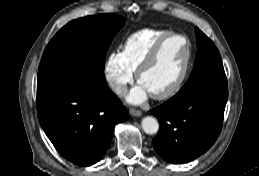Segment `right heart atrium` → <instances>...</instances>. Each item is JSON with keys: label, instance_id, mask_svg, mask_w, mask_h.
<instances>
[{"label": "right heart atrium", "instance_id": "d8ad5b80", "mask_svg": "<svg viewBox=\"0 0 259 176\" xmlns=\"http://www.w3.org/2000/svg\"><path fill=\"white\" fill-rule=\"evenodd\" d=\"M103 70L107 83L118 95L123 94L127 85L133 81V71L126 65L121 51L108 54Z\"/></svg>", "mask_w": 259, "mask_h": 176}]
</instances>
